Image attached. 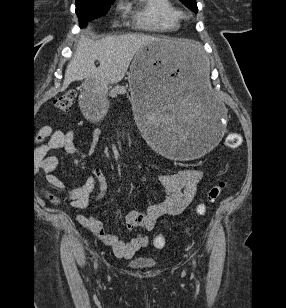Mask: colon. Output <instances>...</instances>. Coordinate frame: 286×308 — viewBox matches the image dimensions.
Masks as SVG:
<instances>
[{"label": "colon", "mask_w": 286, "mask_h": 308, "mask_svg": "<svg viewBox=\"0 0 286 308\" xmlns=\"http://www.w3.org/2000/svg\"><path fill=\"white\" fill-rule=\"evenodd\" d=\"M76 98V93L73 90L66 91L65 93L56 97L54 106L62 112H69L72 110ZM243 139L239 133L233 132L226 137V145L231 149H238L242 146ZM226 187V182L221 180L213 185L207 193V201H215L222 191ZM206 212V205L204 203L199 204L196 207V213L203 215ZM166 244L165 237L163 235H156L153 239V245L156 248H163Z\"/></svg>", "instance_id": "obj_1"}]
</instances>
